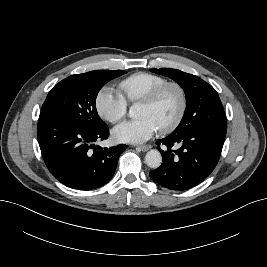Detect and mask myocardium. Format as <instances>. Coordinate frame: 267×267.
Segmentation results:
<instances>
[{"instance_id": "obj_1", "label": "myocardium", "mask_w": 267, "mask_h": 267, "mask_svg": "<svg viewBox=\"0 0 267 267\" xmlns=\"http://www.w3.org/2000/svg\"><path fill=\"white\" fill-rule=\"evenodd\" d=\"M169 87H173L178 91L179 98H180V107L177 112V115L175 118L165 127H162L159 129V132L161 134H168L172 131H174L178 125L181 123L186 109H187V95L184 87L175 81H166L157 87H155L153 90H151L144 98H142L139 103L145 104V105H153L161 96V94Z\"/></svg>"}]
</instances>
